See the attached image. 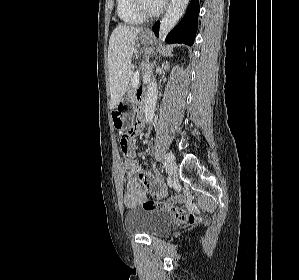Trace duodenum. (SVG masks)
<instances>
[{
  "label": "duodenum",
  "instance_id": "1",
  "mask_svg": "<svg viewBox=\"0 0 299 280\" xmlns=\"http://www.w3.org/2000/svg\"><path fill=\"white\" fill-rule=\"evenodd\" d=\"M137 100H138L139 111L141 113L142 118L144 119V115H145V104H144L143 94H138L137 95Z\"/></svg>",
  "mask_w": 299,
  "mask_h": 280
}]
</instances>
